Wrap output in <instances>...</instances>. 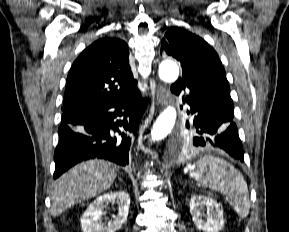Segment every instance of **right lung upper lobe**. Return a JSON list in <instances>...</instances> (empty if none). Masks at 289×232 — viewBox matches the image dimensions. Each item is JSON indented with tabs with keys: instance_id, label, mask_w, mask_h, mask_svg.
<instances>
[{
	"instance_id": "right-lung-upper-lobe-1",
	"label": "right lung upper lobe",
	"mask_w": 289,
	"mask_h": 232,
	"mask_svg": "<svg viewBox=\"0 0 289 232\" xmlns=\"http://www.w3.org/2000/svg\"><path fill=\"white\" fill-rule=\"evenodd\" d=\"M129 64L128 45L121 39L102 38L75 60L67 77L64 113L115 101L136 89Z\"/></svg>"
}]
</instances>
